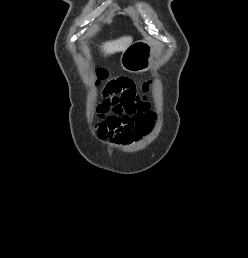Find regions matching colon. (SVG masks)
<instances>
[{"instance_id":"1","label":"colon","mask_w":248,"mask_h":258,"mask_svg":"<svg viewBox=\"0 0 248 258\" xmlns=\"http://www.w3.org/2000/svg\"><path fill=\"white\" fill-rule=\"evenodd\" d=\"M109 108H112L113 112H114V106L112 105L111 101H108L104 104L101 105L100 109L103 112H108ZM123 120V117H119L115 114H111L108 115L104 121V123H107L109 127H116L119 126L121 124Z\"/></svg>"}]
</instances>
